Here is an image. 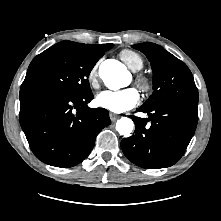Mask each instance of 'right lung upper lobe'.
Here are the masks:
<instances>
[{"instance_id":"obj_1","label":"right lung upper lobe","mask_w":221,"mask_h":221,"mask_svg":"<svg viewBox=\"0 0 221 221\" xmlns=\"http://www.w3.org/2000/svg\"><path fill=\"white\" fill-rule=\"evenodd\" d=\"M81 45L90 51L102 53L103 55H104V52L111 49V44H104V45L81 44Z\"/></svg>"}]
</instances>
